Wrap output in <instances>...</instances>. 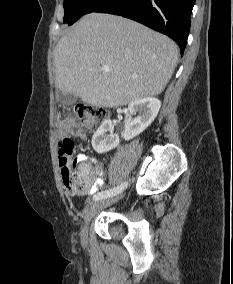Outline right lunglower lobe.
<instances>
[{
  "label": "right lung lower lobe",
  "instance_id": "obj_1",
  "mask_svg": "<svg viewBox=\"0 0 233 284\" xmlns=\"http://www.w3.org/2000/svg\"><path fill=\"white\" fill-rule=\"evenodd\" d=\"M194 3L195 0H108L93 12L120 15L161 32L178 43L182 55Z\"/></svg>",
  "mask_w": 233,
  "mask_h": 284
}]
</instances>
